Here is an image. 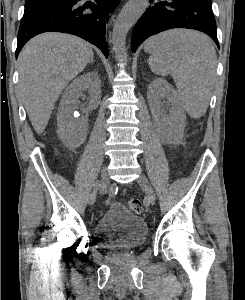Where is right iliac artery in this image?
I'll list each match as a JSON object with an SVG mask.
<instances>
[{"label": "right iliac artery", "mask_w": 245, "mask_h": 300, "mask_svg": "<svg viewBox=\"0 0 245 300\" xmlns=\"http://www.w3.org/2000/svg\"><path fill=\"white\" fill-rule=\"evenodd\" d=\"M107 191H108V183L104 182L103 186H100L99 194H101V195L107 194Z\"/></svg>", "instance_id": "right-iliac-artery-1"}]
</instances>
